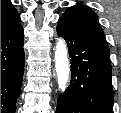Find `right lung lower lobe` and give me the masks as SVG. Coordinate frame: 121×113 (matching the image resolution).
Returning <instances> with one entry per match:
<instances>
[{"mask_svg":"<svg viewBox=\"0 0 121 113\" xmlns=\"http://www.w3.org/2000/svg\"><path fill=\"white\" fill-rule=\"evenodd\" d=\"M21 24L1 36V113H15L20 96L24 49Z\"/></svg>","mask_w":121,"mask_h":113,"instance_id":"98d812e1","label":"right lung lower lobe"}]
</instances>
